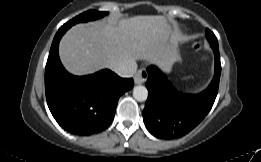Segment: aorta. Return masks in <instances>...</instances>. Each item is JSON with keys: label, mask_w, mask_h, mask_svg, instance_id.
I'll use <instances>...</instances> for the list:
<instances>
[{"label": "aorta", "mask_w": 261, "mask_h": 162, "mask_svg": "<svg viewBox=\"0 0 261 162\" xmlns=\"http://www.w3.org/2000/svg\"><path fill=\"white\" fill-rule=\"evenodd\" d=\"M133 97L137 101H140V102L145 101L148 97L147 88L142 85L135 86L133 89Z\"/></svg>", "instance_id": "aorta-1"}]
</instances>
